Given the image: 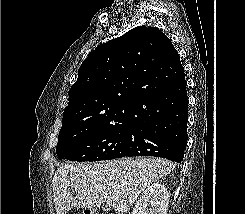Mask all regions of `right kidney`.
I'll return each instance as SVG.
<instances>
[{
  "label": "right kidney",
  "instance_id": "right-kidney-1",
  "mask_svg": "<svg viewBox=\"0 0 245 214\" xmlns=\"http://www.w3.org/2000/svg\"><path fill=\"white\" fill-rule=\"evenodd\" d=\"M169 193L164 184L148 186L136 202L132 214H167Z\"/></svg>",
  "mask_w": 245,
  "mask_h": 214
}]
</instances>
